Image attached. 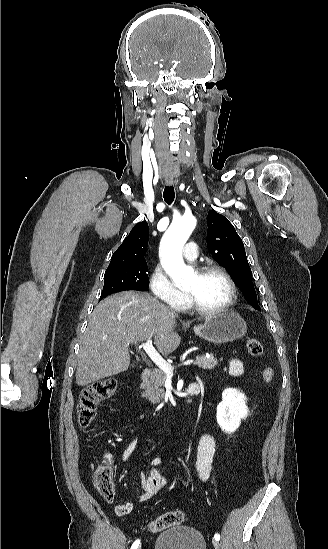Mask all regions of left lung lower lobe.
Returning <instances> with one entry per match:
<instances>
[{"instance_id":"1","label":"left lung lower lobe","mask_w":328,"mask_h":549,"mask_svg":"<svg viewBox=\"0 0 328 549\" xmlns=\"http://www.w3.org/2000/svg\"><path fill=\"white\" fill-rule=\"evenodd\" d=\"M254 308H255L256 310H259V311L261 310V308H260L259 306L254 307Z\"/></svg>"}]
</instances>
